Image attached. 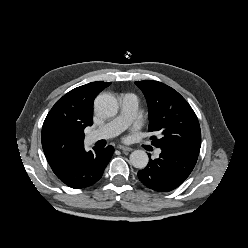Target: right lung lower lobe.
<instances>
[{
  "label": "right lung lower lobe",
  "mask_w": 248,
  "mask_h": 248,
  "mask_svg": "<svg viewBox=\"0 0 248 248\" xmlns=\"http://www.w3.org/2000/svg\"><path fill=\"white\" fill-rule=\"evenodd\" d=\"M114 152L112 146L105 149L93 148V151H81L56 176L67 186L78 189L96 183L103 174Z\"/></svg>",
  "instance_id": "1"
}]
</instances>
